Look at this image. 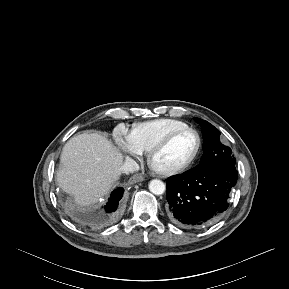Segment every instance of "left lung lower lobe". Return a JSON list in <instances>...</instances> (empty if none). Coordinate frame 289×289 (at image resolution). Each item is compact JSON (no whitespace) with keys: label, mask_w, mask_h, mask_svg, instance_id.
I'll use <instances>...</instances> for the list:
<instances>
[{"label":"left lung lower lobe","mask_w":289,"mask_h":289,"mask_svg":"<svg viewBox=\"0 0 289 289\" xmlns=\"http://www.w3.org/2000/svg\"><path fill=\"white\" fill-rule=\"evenodd\" d=\"M237 175L234 165L217 164L169 178L166 197L170 220L195 228L215 222L229 206Z\"/></svg>","instance_id":"obj_1"}]
</instances>
